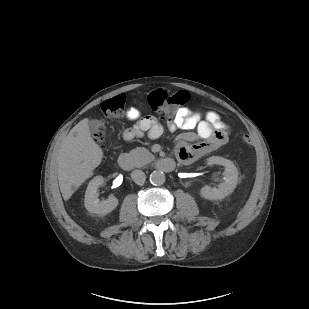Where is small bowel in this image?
<instances>
[{"mask_svg": "<svg viewBox=\"0 0 309 309\" xmlns=\"http://www.w3.org/2000/svg\"><path fill=\"white\" fill-rule=\"evenodd\" d=\"M127 118L136 121L124 136L126 139L140 137L146 133L150 138H158L164 128L154 116H142L135 106L127 110ZM167 129L171 132L183 130L177 137V157L189 164L203 155L211 152L227 142L228 126L223 123L215 111H209L203 116L200 112L189 108H181L167 122Z\"/></svg>", "mask_w": 309, "mask_h": 309, "instance_id": "small-bowel-1", "label": "small bowel"}]
</instances>
